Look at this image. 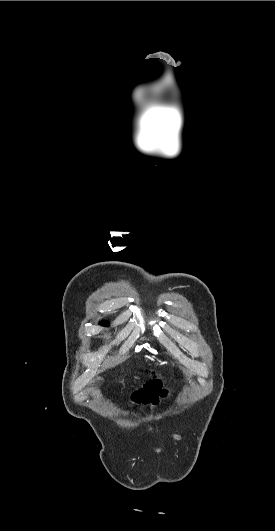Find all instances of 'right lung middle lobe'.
Instances as JSON below:
<instances>
[{
	"label": "right lung middle lobe",
	"instance_id": "obj_1",
	"mask_svg": "<svg viewBox=\"0 0 275 531\" xmlns=\"http://www.w3.org/2000/svg\"><path fill=\"white\" fill-rule=\"evenodd\" d=\"M101 325H102V326H107V325H108V322H107V321H102V322H101Z\"/></svg>",
	"mask_w": 275,
	"mask_h": 531
}]
</instances>
